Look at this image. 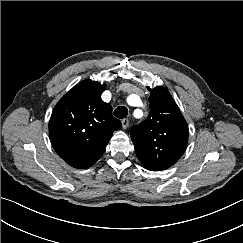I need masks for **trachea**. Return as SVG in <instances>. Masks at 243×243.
<instances>
[{
	"mask_svg": "<svg viewBox=\"0 0 243 243\" xmlns=\"http://www.w3.org/2000/svg\"><path fill=\"white\" fill-rule=\"evenodd\" d=\"M128 110L125 106H119L114 110V116L123 119L127 116Z\"/></svg>",
	"mask_w": 243,
	"mask_h": 243,
	"instance_id": "obj_1",
	"label": "trachea"
}]
</instances>
